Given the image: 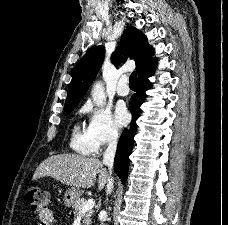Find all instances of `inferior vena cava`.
I'll return each instance as SVG.
<instances>
[{
	"mask_svg": "<svg viewBox=\"0 0 228 225\" xmlns=\"http://www.w3.org/2000/svg\"><path fill=\"white\" fill-rule=\"evenodd\" d=\"M117 139H118L117 133L112 129V131H110V139H109L108 147L103 157V165H106V167H108L109 175H111L112 169H113L114 157H115L116 147H117ZM106 187H107L106 193L107 195H110L113 189V177H108ZM99 219L100 221H105V211H101L99 215ZM101 225H104V223H101Z\"/></svg>",
	"mask_w": 228,
	"mask_h": 225,
	"instance_id": "602c4592",
	"label": "inferior vena cava"
}]
</instances>
